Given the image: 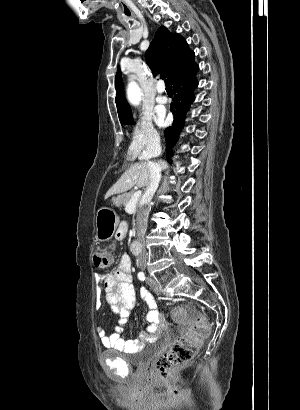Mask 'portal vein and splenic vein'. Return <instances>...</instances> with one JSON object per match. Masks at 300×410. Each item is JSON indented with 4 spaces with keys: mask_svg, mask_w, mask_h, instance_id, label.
Wrapping results in <instances>:
<instances>
[{
    "mask_svg": "<svg viewBox=\"0 0 300 410\" xmlns=\"http://www.w3.org/2000/svg\"><path fill=\"white\" fill-rule=\"evenodd\" d=\"M142 192L140 190L136 191L133 196L130 198L129 202L126 204L125 210L126 212L134 211L136 208V204L138 203Z\"/></svg>",
    "mask_w": 300,
    "mask_h": 410,
    "instance_id": "1",
    "label": "portal vein and splenic vein"
}]
</instances>
